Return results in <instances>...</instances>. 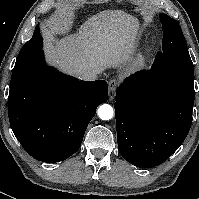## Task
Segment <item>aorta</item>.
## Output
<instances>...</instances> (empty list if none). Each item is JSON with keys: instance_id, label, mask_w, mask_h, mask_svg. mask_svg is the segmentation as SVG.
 Masks as SVG:
<instances>
[{"instance_id": "1", "label": "aorta", "mask_w": 199, "mask_h": 199, "mask_svg": "<svg viewBox=\"0 0 199 199\" xmlns=\"http://www.w3.org/2000/svg\"><path fill=\"white\" fill-rule=\"evenodd\" d=\"M114 115V111L111 105L103 104L98 108V116L102 120H110Z\"/></svg>"}]
</instances>
